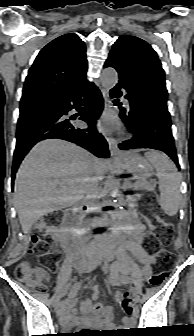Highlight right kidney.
Listing matches in <instances>:
<instances>
[{
  "label": "right kidney",
  "mask_w": 194,
  "mask_h": 336,
  "mask_svg": "<svg viewBox=\"0 0 194 336\" xmlns=\"http://www.w3.org/2000/svg\"><path fill=\"white\" fill-rule=\"evenodd\" d=\"M51 232L53 233V235H55V234L57 233L56 228H55V227H52V228H51Z\"/></svg>",
  "instance_id": "ca27d5eb"
}]
</instances>
